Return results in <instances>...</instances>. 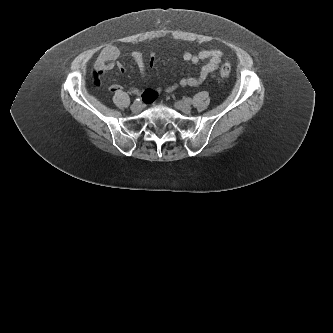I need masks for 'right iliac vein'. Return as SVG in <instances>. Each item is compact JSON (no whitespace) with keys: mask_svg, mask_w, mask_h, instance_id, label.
Masks as SVG:
<instances>
[{"mask_svg":"<svg viewBox=\"0 0 333 333\" xmlns=\"http://www.w3.org/2000/svg\"><path fill=\"white\" fill-rule=\"evenodd\" d=\"M143 109V106L140 102H134L131 106V110L134 113H138Z\"/></svg>","mask_w":333,"mask_h":333,"instance_id":"obj_1","label":"right iliac vein"}]
</instances>
